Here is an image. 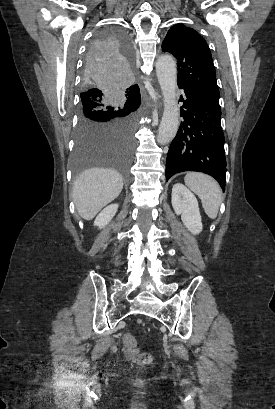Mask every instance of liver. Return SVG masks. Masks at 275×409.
<instances>
[{
	"label": "liver",
	"mask_w": 275,
	"mask_h": 409,
	"mask_svg": "<svg viewBox=\"0 0 275 409\" xmlns=\"http://www.w3.org/2000/svg\"><path fill=\"white\" fill-rule=\"evenodd\" d=\"M123 188L122 174L114 168H88L73 184L75 207L83 219L91 221L97 213L117 198Z\"/></svg>",
	"instance_id": "obj_1"
}]
</instances>
